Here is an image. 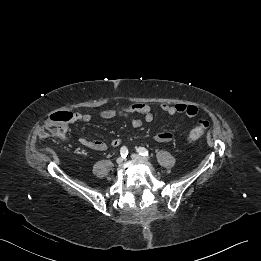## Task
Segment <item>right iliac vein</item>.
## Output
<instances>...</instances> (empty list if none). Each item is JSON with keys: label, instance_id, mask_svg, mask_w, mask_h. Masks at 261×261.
I'll use <instances>...</instances> for the list:
<instances>
[{"label": "right iliac vein", "instance_id": "right-iliac-vein-1", "mask_svg": "<svg viewBox=\"0 0 261 261\" xmlns=\"http://www.w3.org/2000/svg\"><path fill=\"white\" fill-rule=\"evenodd\" d=\"M123 162H124L123 157H118L117 160H116V163H117L118 165H122Z\"/></svg>", "mask_w": 261, "mask_h": 261}]
</instances>
